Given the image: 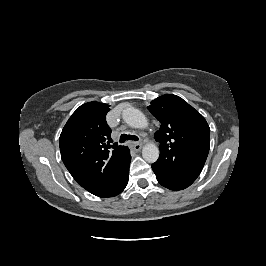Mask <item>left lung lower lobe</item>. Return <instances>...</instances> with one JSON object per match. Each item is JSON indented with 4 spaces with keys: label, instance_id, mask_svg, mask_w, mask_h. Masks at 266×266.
<instances>
[{
    "label": "left lung lower lobe",
    "instance_id": "1",
    "mask_svg": "<svg viewBox=\"0 0 266 266\" xmlns=\"http://www.w3.org/2000/svg\"><path fill=\"white\" fill-rule=\"evenodd\" d=\"M152 169L156 175L158 182L162 186H164L170 190H175V191L182 190V189H185L192 184L190 182H182V181H178V180H174V179H171L169 177H166L161 172L157 171L153 166H152Z\"/></svg>",
    "mask_w": 266,
    "mask_h": 266
}]
</instances>
